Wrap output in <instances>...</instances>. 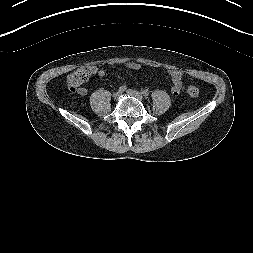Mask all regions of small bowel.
I'll list each match as a JSON object with an SVG mask.
<instances>
[{
  "mask_svg": "<svg viewBox=\"0 0 253 253\" xmlns=\"http://www.w3.org/2000/svg\"><path fill=\"white\" fill-rule=\"evenodd\" d=\"M126 66L128 68H131V69H139V68H141V65L139 63H137V62L128 63V64H126ZM90 69H91L92 73L97 74L100 77H102V76L105 75V71L104 70L97 69L94 66H91ZM167 74L170 76V78L172 80V87H171L172 92L174 94L180 93L181 90H182V87H183L181 72H179L177 70H174V69H169V70H167ZM78 93L80 95H86L87 94V89L85 87H81L79 89Z\"/></svg>",
  "mask_w": 253,
  "mask_h": 253,
  "instance_id": "c3829d8e",
  "label": "small bowel"
}]
</instances>
